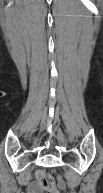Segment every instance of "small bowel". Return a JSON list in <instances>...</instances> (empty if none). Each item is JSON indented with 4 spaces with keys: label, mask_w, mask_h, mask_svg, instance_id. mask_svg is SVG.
Listing matches in <instances>:
<instances>
[{
    "label": "small bowel",
    "mask_w": 103,
    "mask_h": 193,
    "mask_svg": "<svg viewBox=\"0 0 103 193\" xmlns=\"http://www.w3.org/2000/svg\"><path fill=\"white\" fill-rule=\"evenodd\" d=\"M63 185V184H61ZM28 192L29 193H40V188L38 187L37 184L32 183L28 186Z\"/></svg>",
    "instance_id": "c3829d8e"
}]
</instances>
